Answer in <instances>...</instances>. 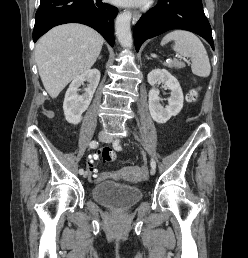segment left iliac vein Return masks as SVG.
I'll return each mask as SVG.
<instances>
[{"mask_svg":"<svg viewBox=\"0 0 248 258\" xmlns=\"http://www.w3.org/2000/svg\"><path fill=\"white\" fill-rule=\"evenodd\" d=\"M106 143H112L113 142V137L112 136H108L107 139L105 140ZM150 174L154 175L155 174V169H151L150 170Z\"/></svg>","mask_w":248,"mask_h":258,"instance_id":"4c4485c4","label":"left iliac vein"}]
</instances>
